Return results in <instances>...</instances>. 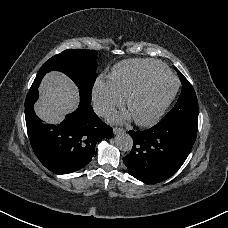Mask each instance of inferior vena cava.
Returning <instances> with one entry per match:
<instances>
[{
    "instance_id": "1",
    "label": "inferior vena cava",
    "mask_w": 228,
    "mask_h": 228,
    "mask_svg": "<svg viewBox=\"0 0 228 228\" xmlns=\"http://www.w3.org/2000/svg\"><path fill=\"white\" fill-rule=\"evenodd\" d=\"M111 108L112 106L106 101L96 99L93 102V110L98 116H105Z\"/></svg>"
}]
</instances>
